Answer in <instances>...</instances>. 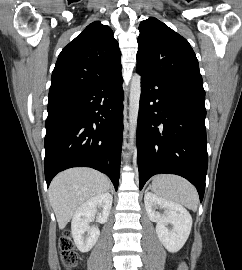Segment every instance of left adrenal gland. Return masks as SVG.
<instances>
[{
	"label": "left adrenal gland",
	"mask_w": 242,
	"mask_h": 270,
	"mask_svg": "<svg viewBox=\"0 0 242 270\" xmlns=\"http://www.w3.org/2000/svg\"><path fill=\"white\" fill-rule=\"evenodd\" d=\"M150 189V187L147 188L146 192Z\"/></svg>",
	"instance_id": "left-adrenal-gland-1"
}]
</instances>
